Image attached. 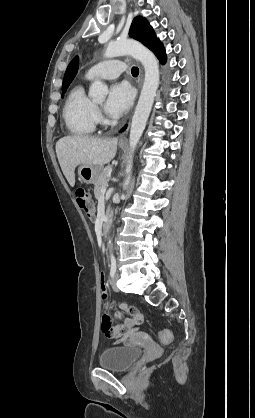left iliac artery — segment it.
Segmentation results:
<instances>
[{
	"mask_svg": "<svg viewBox=\"0 0 255 418\" xmlns=\"http://www.w3.org/2000/svg\"><path fill=\"white\" fill-rule=\"evenodd\" d=\"M117 270L116 259L114 256H111V266H110V276L113 278Z\"/></svg>",
	"mask_w": 255,
	"mask_h": 418,
	"instance_id": "obj_1",
	"label": "left iliac artery"
}]
</instances>
